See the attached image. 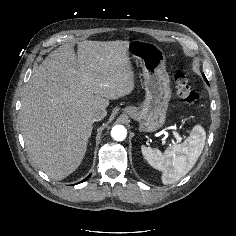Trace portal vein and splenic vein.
<instances>
[{
	"mask_svg": "<svg viewBox=\"0 0 236 236\" xmlns=\"http://www.w3.org/2000/svg\"><path fill=\"white\" fill-rule=\"evenodd\" d=\"M173 135L175 139L177 140V142L180 143L182 141V137L177 132H173Z\"/></svg>",
	"mask_w": 236,
	"mask_h": 236,
	"instance_id": "18ae733b",
	"label": "portal vein and splenic vein"
}]
</instances>
